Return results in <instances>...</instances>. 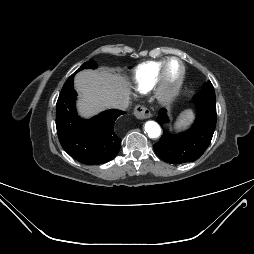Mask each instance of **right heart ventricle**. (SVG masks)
Wrapping results in <instances>:
<instances>
[{
	"mask_svg": "<svg viewBox=\"0 0 254 254\" xmlns=\"http://www.w3.org/2000/svg\"><path fill=\"white\" fill-rule=\"evenodd\" d=\"M164 61H148L136 67L133 73V82L138 91L146 93L155 86L158 72Z\"/></svg>",
	"mask_w": 254,
	"mask_h": 254,
	"instance_id": "1",
	"label": "right heart ventricle"
}]
</instances>
